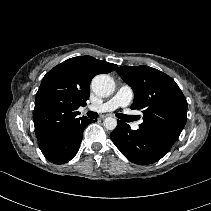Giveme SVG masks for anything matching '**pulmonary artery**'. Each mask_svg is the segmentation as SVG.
<instances>
[{
	"label": "pulmonary artery",
	"mask_w": 211,
	"mask_h": 211,
	"mask_svg": "<svg viewBox=\"0 0 211 211\" xmlns=\"http://www.w3.org/2000/svg\"><path fill=\"white\" fill-rule=\"evenodd\" d=\"M133 99V90L128 85L121 86L116 94L106 101L105 103L99 106H90L89 109L91 111L97 112H107L113 111L119 107H126ZM139 128V123L133 124V129L137 130Z\"/></svg>",
	"instance_id": "e3ab8cb5"
}]
</instances>
